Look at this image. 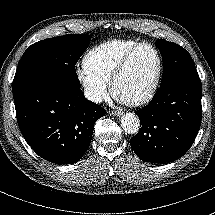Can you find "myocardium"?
Returning <instances> with one entry per match:
<instances>
[{
	"label": "myocardium",
	"instance_id": "obj_1",
	"mask_svg": "<svg viewBox=\"0 0 215 215\" xmlns=\"http://www.w3.org/2000/svg\"><path fill=\"white\" fill-rule=\"evenodd\" d=\"M143 46H149L154 50L157 57V68L147 88L138 98L130 101H122L124 104H126L129 107H139L146 104L153 97L162 74V56L158 48L150 42H138L125 53V55L122 57L119 64L117 65L114 73L112 74L110 79V84H109L111 95L115 97L114 89L117 81L120 79V77L124 74V72L128 68V65L133 55L135 54V52Z\"/></svg>",
	"mask_w": 215,
	"mask_h": 215
}]
</instances>
